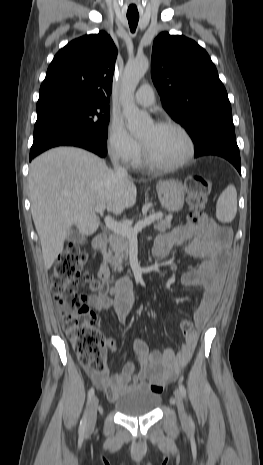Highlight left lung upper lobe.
Instances as JSON below:
<instances>
[{
	"instance_id": "1",
	"label": "left lung upper lobe",
	"mask_w": 263,
	"mask_h": 465,
	"mask_svg": "<svg viewBox=\"0 0 263 465\" xmlns=\"http://www.w3.org/2000/svg\"><path fill=\"white\" fill-rule=\"evenodd\" d=\"M152 80L162 106L195 146L217 130H234L231 105L207 52L184 36L160 33L152 49Z\"/></svg>"
}]
</instances>
